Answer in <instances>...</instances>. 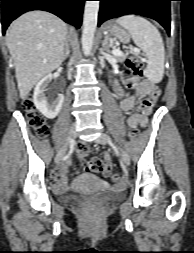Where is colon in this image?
I'll use <instances>...</instances> for the list:
<instances>
[{"label":"colon","mask_w":194,"mask_h":253,"mask_svg":"<svg viewBox=\"0 0 194 253\" xmlns=\"http://www.w3.org/2000/svg\"><path fill=\"white\" fill-rule=\"evenodd\" d=\"M127 68L134 74L136 77H142L143 75V64L138 56H131L126 60ZM159 96V91L156 89L152 95L145 98L137 106V113L139 114H148L153 108L157 98ZM23 109L26 113L28 123L35 129L36 134L39 137L47 136L49 132V127L46 123L45 118L40 114L34 106L33 100L30 96L26 97L22 103ZM129 135L135 137L137 135V128L128 127ZM89 153V147L80 143L77 146V156L80 159H84ZM87 170L90 172L98 173L103 172L104 165L100 158L94 157L85 163ZM110 179L114 183H119L122 181V175L120 173H110Z\"/></svg>","instance_id":"1"}]
</instances>
